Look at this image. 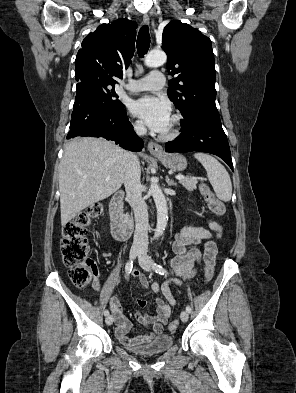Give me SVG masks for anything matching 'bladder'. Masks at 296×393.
<instances>
[{"mask_svg":"<svg viewBox=\"0 0 296 393\" xmlns=\"http://www.w3.org/2000/svg\"><path fill=\"white\" fill-rule=\"evenodd\" d=\"M174 344L172 335L159 334L152 338L150 342L141 347L125 346V349L142 356H152L164 353Z\"/></svg>","mask_w":296,"mask_h":393,"instance_id":"bladder-1","label":"bladder"}]
</instances>
